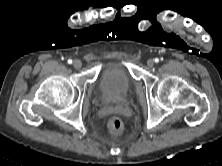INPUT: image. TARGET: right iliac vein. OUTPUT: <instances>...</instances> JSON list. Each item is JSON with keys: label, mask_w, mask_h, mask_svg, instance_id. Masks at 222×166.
<instances>
[{"label": "right iliac vein", "mask_w": 222, "mask_h": 166, "mask_svg": "<svg viewBox=\"0 0 222 166\" xmlns=\"http://www.w3.org/2000/svg\"><path fill=\"white\" fill-rule=\"evenodd\" d=\"M73 66H74V68L79 69V68H81L82 63L80 60H74Z\"/></svg>", "instance_id": "63e3f726"}]
</instances>
